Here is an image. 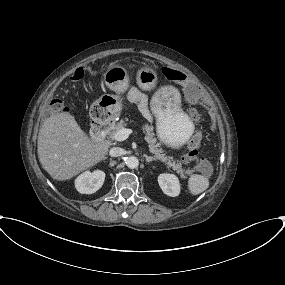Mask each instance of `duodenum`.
<instances>
[{
    "instance_id": "duodenum-1",
    "label": "duodenum",
    "mask_w": 285,
    "mask_h": 285,
    "mask_svg": "<svg viewBox=\"0 0 285 285\" xmlns=\"http://www.w3.org/2000/svg\"><path fill=\"white\" fill-rule=\"evenodd\" d=\"M107 130L108 126L106 124L94 126L91 129V136L95 141H101Z\"/></svg>"
}]
</instances>
